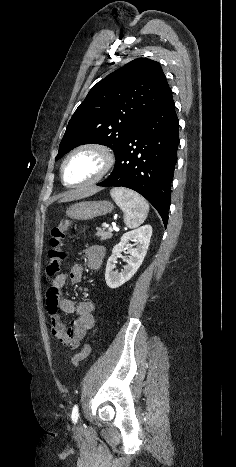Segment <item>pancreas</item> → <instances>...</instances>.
Returning a JSON list of instances; mask_svg holds the SVG:
<instances>
[{
  "label": "pancreas",
  "instance_id": "cf45deb5",
  "mask_svg": "<svg viewBox=\"0 0 236 467\" xmlns=\"http://www.w3.org/2000/svg\"><path fill=\"white\" fill-rule=\"evenodd\" d=\"M96 235L98 238H100L101 241H105L112 237V232L105 231L104 229L98 228Z\"/></svg>",
  "mask_w": 236,
  "mask_h": 467
}]
</instances>
